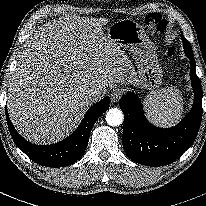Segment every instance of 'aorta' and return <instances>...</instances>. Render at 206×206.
<instances>
[{"instance_id": "762f6f07", "label": "aorta", "mask_w": 206, "mask_h": 206, "mask_svg": "<svg viewBox=\"0 0 206 206\" xmlns=\"http://www.w3.org/2000/svg\"><path fill=\"white\" fill-rule=\"evenodd\" d=\"M123 121V113L118 108H111L106 113V122L110 126H118Z\"/></svg>"}]
</instances>
